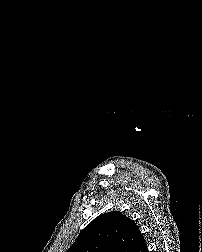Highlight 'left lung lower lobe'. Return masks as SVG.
<instances>
[{"label":"left lung lower lobe","instance_id":"left-lung-lower-lobe-1","mask_svg":"<svg viewBox=\"0 0 202 252\" xmlns=\"http://www.w3.org/2000/svg\"><path fill=\"white\" fill-rule=\"evenodd\" d=\"M134 252H149L143 234L139 235L138 244Z\"/></svg>","mask_w":202,"mask_h":252}]
</instances>
